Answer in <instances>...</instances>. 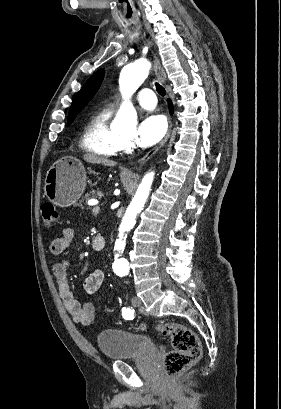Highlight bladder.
Wrapping results in <instances>:
<instances>
[{"label":"bladder","mask_w":281,"mask_h":409,"mask_svg":"<svg viewBox=\"0 0 281 409\" xmlns=\"http://www.w3.org/2000/svg\"><path fill=\"white\" fill-rule=\"evenodd\" d=\"M97 350L109 361L125 362L132 355H157L158 345L145 333L120 328H104L94 336Z\"/></svg>","instance_id":"obj_1"}]
</instances>
